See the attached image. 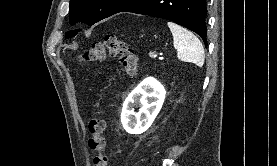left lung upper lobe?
I'll return each instance as SVG.
<instances>
[{"instance_id": "obj_1", "label": "left lung upper lobe", "mask_w": 277, "mask_h": 166, "mask_svg": "<svg viewBox=\"0 0 277 166\" xmlns=\"http://www.w3.org/2000/svg\"><path fill=\"white\" fill-rule=\"evenodd\" d=\"M135 0H70V24L78 21L93 25L96 22L116 14ZM80 30H71L66 37H73Z\"/></svg>"}]
</instances>
